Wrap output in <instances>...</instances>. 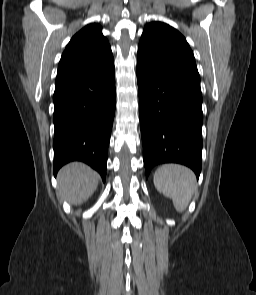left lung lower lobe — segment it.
Instances as JSON below:
<instances>
[{
	"mask_svg": "<svg viewBox=\"0 0 256 295\" xmlns=\"http://www.w3.org/2000/svg\"><path fill=\"white\" fill-rule=\"evenodd\" d=\"M143 160L148 177L162 163L190 167L197 178L202 157V95L168 83L137 65Z\"/></svg>",
	"mask_w": 256,
	"mask_h": 295,
	"instance_id": "0a47b994",
	"label": "left lung lower lobe"
}]
</instances>
